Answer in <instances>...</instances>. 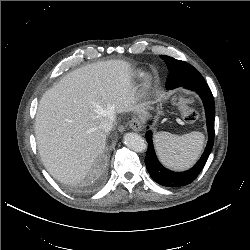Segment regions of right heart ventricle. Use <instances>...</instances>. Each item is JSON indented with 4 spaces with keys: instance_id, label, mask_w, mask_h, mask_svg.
Here are the masks:
<instances>
[{
    "instance_id": "e07e8e85",
    "label": "right heart ventricle",
    "mask_w": 250,
    "mask_h": 250,
    "mask_svg": "<svg viewBox=\"0 0 250 250\" xmlns=\"http://www.w3.org/2000/svg\"><path fill=\"white\" fill-rule=\"evenodd\" d=\"M142 74H143V73H142L141 71H137V72H136V75H137V76H142Z\"/></svg>"
}]
</instances>
